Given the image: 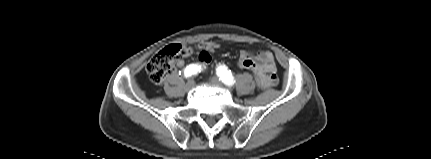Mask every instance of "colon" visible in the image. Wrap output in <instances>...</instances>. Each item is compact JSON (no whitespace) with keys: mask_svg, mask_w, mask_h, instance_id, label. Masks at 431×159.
I'll use <instances>...</instances> for the list:
<instances>
[{"mask_svg":"<svg viewBox=\"0 0 431 159\" xmlns=\"http://www.w3.org/2000/svg\"><path fill=\"white\" fill-rule=\"evenodd\" d=\"M194 48L182 47L179 44H173L163 48L154 54L146 65V71L155 84L161 83L164 78L172 71L174 62L181 56L185 55L189 57L194 53ZM197 52H200V48H197ZM202 52H208V50L202 49ZM212 56L209 53H202L198 57V64L203 67H208L211 64ZM253 79L257 85V91L261 92V81L257 75H253Z\"/></svg>","mask_w":431,"mask_h":159,"instance_id":"colon-1","label":"colon"}]
</instances>
